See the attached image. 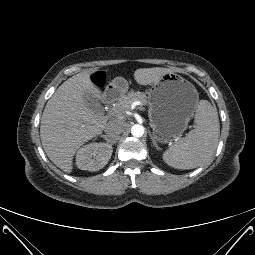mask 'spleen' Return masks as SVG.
Returning a JSON list of instances; mask_svg holds the SVG:
<instances>
[{"label":"spleen","mask_w":255,"mask_h":255,"mask_svg":"<svg viewBox=\"0 0 255 255\" xmlns=\"http://www.w3.org/2000/svg\"><path fill=\"white\" fill-rule=\"evenodd\" d=\"M194 123V129L185 138L164 152L163 160L169 166L188 170L211 161L220 135L216 107L207 100H201L196 109Z\"/></svg>","instance_id":"obj_1"}]
</instances>
